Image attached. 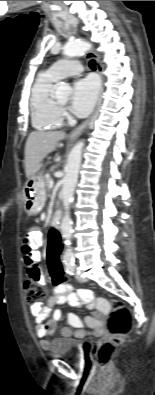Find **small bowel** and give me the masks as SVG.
I'll use <instances>...</instances> for the list:
<instances>
[{"mask_svg":"<svg viewBox=\"0 0 155 395\" xmlns=\"http://www.w3.org/2000/svg\"><path fill=\"white\" fill-rule=\"evenodd\" d=\"M41 235L37 231H33L25 237L21 243V252L27 266L29 277L35 278L40 284L45 285L46 280L43 276L38 262L41 258L40 252L37 250L38 245L41 243ZM75 284L67 283L66 288H54L52 296L49 298L47 304L37 303L31 305L30 312L33 315V325L35 334L40 340V345L43 349H49L51 346L48 336L53 334L57 322L61 318V311L56 309L52 318L45 322L49 317L52 309L57 305L68 302L72 306H80L86 304L95 311H100L101 315H111L113 305L111 300H107L106 296H94L89 290H81L78 293L74 291ZM69 327H64L61 330V335L64 338L73 336L83 337L85 331L81 319L76 315L68 316ZM85 323L88 327L94 330V334L100 335L103 331V322L98 316H89L85 318Z\"/></svg>","mask_w":155,"mask_h":395,"instance_id":"obj_1","label":"small bowel"}]
</instances>
